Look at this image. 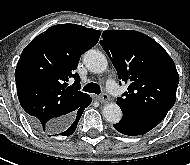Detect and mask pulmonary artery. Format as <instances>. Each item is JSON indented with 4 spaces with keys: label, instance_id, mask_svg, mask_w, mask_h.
Returning <instances> with one entry per match:
<instances>
[{
    "label": "pulmonary artery",
    "instance_id": "obj_1",
    "mask_svg": "<svg viewBox=\"0 0 190 165\" xmlns=\"http://www.w3.org/2000/svg\"><path fill=\"white\" fill-rule=\"evenodd\" d=\"M107 89L109 92H111L113 95H119L120 94V90L117 86V84L113 81V80H109L107 82Z\"/></svg>",
    "mask_w": 190,
    "mask_h": 165
}]
</instances>
